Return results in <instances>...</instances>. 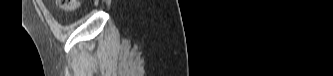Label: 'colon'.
I'll list each match as a JSON object with an SVG mask.
<instances>
[{
    "label": "colon",
    "mask_w": 333,
    "mask_h": 76,
    "mask_svg": "<svg viewBox=\"0 0 333 76\" xmlns=\"http://www.w3.org/2000/svg\"><path fill=\"white\" fill-rule=\"evenodd\" d=\"M57 6L63 10H74L77 8L79 1L78 0H57Z\"/></svg>",
    "instance_id": "colon-1"
}]
</instances>
